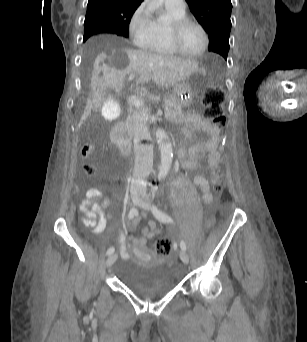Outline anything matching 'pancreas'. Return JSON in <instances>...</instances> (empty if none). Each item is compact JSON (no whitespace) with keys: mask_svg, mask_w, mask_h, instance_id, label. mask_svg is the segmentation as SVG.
<instances>
[{"mask_svg":"<svg viewBox=\"0 0 307 342\" xmlns=\"http://www.w3.org/2000/svg\"><path fill=\"white\" fill-rule=\"evenodd\" d=\"M177 95L176 94H168L167 100H165V118L167 120H170V118H173V120H176V118H180L182 116V110L181 108H177V106H169V104H175L177 102Z\"/></svg>","mask_w":307,"mask_h":342,"instance_id":"1","label":"pancreas"}]
</instances>
